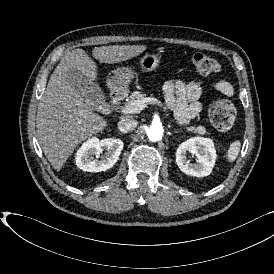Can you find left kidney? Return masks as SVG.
<instances>
[{
    "label": "left kidney",
    "instance_id": "1",
    "mask_svg": "<svg viewBox=\"0 0 274 274\" xmlns=\"http://www.w3.org/2000/svg\"><path fill=\"white\" fill-rule=\"evenodd\" d=\"M187 152L196 158V163H190L186 159ZM175 156L176 164L183 173L193 177H205L212 172L216 152L212 140L194 137L179 144Z\"/></svg>",
    "mask_w": 274,
    "mask_h": 274
}]
</instances>
